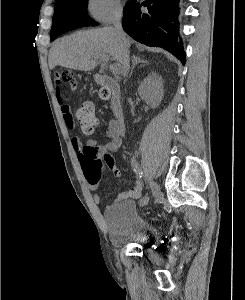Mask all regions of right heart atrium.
<instances>
[{
  "label": "right heart atrium",
  "instance_id": "right-heart-atrium-1",
  "mask_svg": "<svg viewBox=\"0 0 245 300\" xmlns=\"http://www.w3.org/2000/svg\"><path fill=\"white\" fill-rule=\"evenodd\" d=\"M86 14L98 23H109L118 19L122 14L120 0H87Z\"/></svg>",
  "mask_w": 245,
  "mask_h": 300
}]
</instances>
